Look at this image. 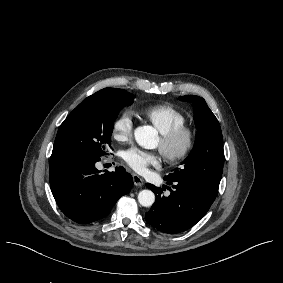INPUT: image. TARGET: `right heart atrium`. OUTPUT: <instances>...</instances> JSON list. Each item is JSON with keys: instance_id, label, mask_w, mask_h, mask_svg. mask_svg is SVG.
Instances as JSON below:
<instances>
[{"instance_id": "d8ad5b80", "label": "right heart atrium", "mask_w": 283, "mask_h": 283, "mask_svg": "<svg viewBox=\"0 0 283 283\" xmlns=\"http://www.w3.org/2000/svg\"><path fill=\"white\" fill-rule=\"evenodd\" d=\"M133 135V122L130 114L116 117L111 125V138L116 142H128Z\"/></svg>"}]
</instances>
